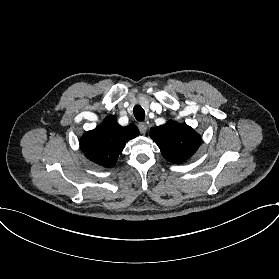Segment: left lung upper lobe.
<instances>
[{"label":"left lung upper lobe","mask_w":279,"mask_h":279,"mask_svg":"<svg viewBox=\"0 0 279 279\" xmlns=\"http://www.w3.org/2000/svg\"><path fill=\"white\" fill-rule=\"evenodd\" d=\"M150 137L160 148L163 157L173 164L190 159L201 144L200 135L190 126L172 120L152 128Z\"/></svg>","instance_id":"left-lung-upper-lobe-1"}]
</instances>
